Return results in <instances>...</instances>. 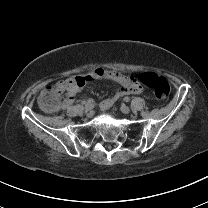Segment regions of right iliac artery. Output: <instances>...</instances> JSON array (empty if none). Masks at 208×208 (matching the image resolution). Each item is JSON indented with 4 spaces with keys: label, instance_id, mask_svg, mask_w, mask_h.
I'll return each mask as SVG.
<instances>
[{
    "label": "right iliac artery",
    "instance_id": "right-iliac-artery-1",
    "mask_svg": "<svg viewBox=\"0 0 208 208\" xmlns=\"http://www.w3.org/2000/svg\"><path fill=\"white\" fill-rule=\"evenodd\" d=\"M93 102H94L93 99L89 98V99L87 100L86 104H91V105H92Z\"/></svg>",
    "mask_w": 208,
    "mask_h": 208
}]
</instances>
